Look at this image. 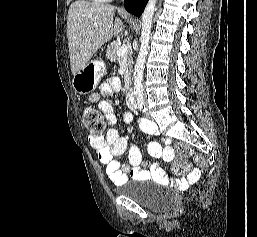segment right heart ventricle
Returning a JSON list of instances; mask_svg holds the SVG:
<instances>
[{
	"label": "right heart ventricle",
	"instance_id": "right-heart-ventricle-1",
	"mask_svg": "<svg viewBox=\"0 0 257 237\" xmlns=\"http://www.w3.org/2000/svg\"><path fill=\"white\" fill-rule=\"evenodd\" d=\"M92 2H95V3H101V2H105V1H109V0H91Z\"/></svg>",
	"mask_w": 257,
	"mask_h": 237
}]
</instances>
